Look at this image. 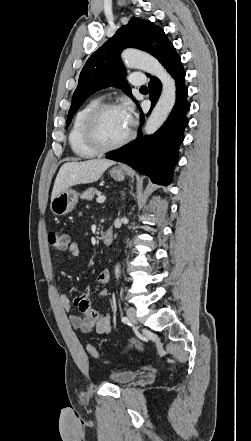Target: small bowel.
I'll use <instances>...</instances> for the list:
<instances>
[{
    "label": "small bowel",
    "mask_w": 251,
    "mask_h": 441,
    "mask_svg": "<svg viewBox=\"0 0 251 441\" xmlns=\"http://www.w3.org/2000/svg\"><path fill=\"white\" fill-rule=\"evenodd\" d=\"M67 250L72 257L80 256V247L78 243L71 242L68 244ZM110 280V272L103 270L97 276V283L105 285ZM107 290H102L99 293L100 297H106ZM59 302L64 310L71 311L73 308L79 311L78 314H71L69 321L75 329L88 333L95 330L99 334H108L111 332L110 316L105 313H101L91 304L90 289L86 288L84 292L77 296L75 299H71L66 294H60Z\"/></svg>",
    "instance_id": "obj_1"
}]
</instances>
